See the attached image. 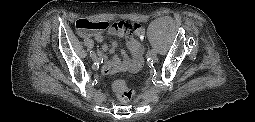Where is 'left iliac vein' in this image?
Returning a JSON list of instances; mask_svg holds the SVG:
<instances>
[{"label": "left iliac vein", "instance_id": "1", "mask_svg": "<svg viewBox=\"0 0 255 122\" xmlns=\"http://www.w3.org/2000/svg\"><path fill=\"white\" fill-rule=\"evenodd\" d=\"M151 60L153 63H157L158 62V56L156 54H151Z\"/></svg>", "mask_w": 255, "mask_h": 122}]
</instances>
